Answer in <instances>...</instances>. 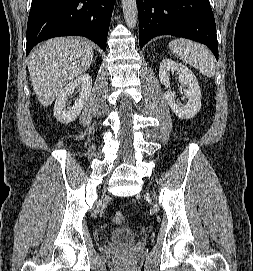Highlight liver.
I'll return each mask as SVG.
<instances>
[{
    "mask_svg": "<svg viewBox=\"0 0 253 271\" xmlns=\"http://www.w3.org/2000/svg\"><path fill=\"white\" fill-rule=\"evenodd\" d=\"M93 49L88 41L58 37L36 46L28 58L30 81L43 106H49L63 87L91 65Z\"/></svg>",
    "mask_w": 253,
    "mask_h": 271,
    "instance_id": "liver-1",
    "label": "liver"
}]
</instances>
